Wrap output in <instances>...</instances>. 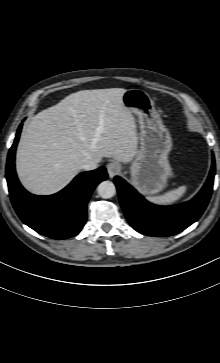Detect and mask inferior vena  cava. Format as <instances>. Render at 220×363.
Listing matches in <instances>:
<instances>
[{
  "mask_svg": "<svg viewBox=\"0 0 220 363\" xmlns=\"http://www.w3.org/2000/svg\"><path fill=\"white\" fill-rule=\"evenodd\" d=\"M98 166L97 162L93 161V160H89L87 162H85L84 164L81 165V168L84 170H94L96 169Z\"/></svg>",
  "mask_w": 220,
  "mask_h": 363,
  "instance_id": "1",
  "label": "inferior vena cava"
}]
</instances>
